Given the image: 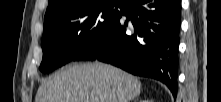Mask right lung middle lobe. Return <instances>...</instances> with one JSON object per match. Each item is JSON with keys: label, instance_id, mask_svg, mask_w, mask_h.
Segmentation results:
<instances>
[{"label": "right lung middle lobe", "instance_id": "1", "mask_svg": "<svg viewBox=\"0 0 221 102\" xmlns=\"http://www.w3.org/2000/svg\"><path fill=\"white\" fill-rule=\"evenodd\" d=\"M123 1H74L44 21L42 72H50L73 59L102 36L118 19Z\"/></svg>", "mask_w": 221, "mask_h": 102}]
</instances>
